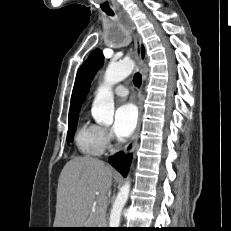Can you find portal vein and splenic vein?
Returning <instances> with one entry per match:
<instances>
[{
	"instance_id": "18ae733b",
	"label": "portal vein and splenic vein",
	"mask_w": 231,
	"mask_h": 231,
	"mask_svg": "<svg viewBox=\"0 0 231 231\" xmlns=\"http://www.w3.org/2000/svg\"><path fill=\"white\" fill-rule=\"evenodd\" d=\"M105 201H106L105 197H99L98 200H97L98 204H102Z\"/></svg>"
}]
</instances>
